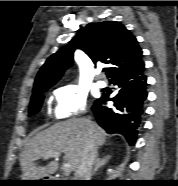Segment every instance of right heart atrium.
<instances>
[{
    "instance_id": "d8ad5b80",
    "label": "right heart atrium",
    "mask_w": 178,
    "mask_h": 186,
    "mask_svg": "<svg viewBox=\"0 0 178 186\" xmlns=\"http://www.w3.org/2000/svg\"><path fill=\"white\" fill-rule=\"evenodd\" d=\"M55 117L65 120L83 114L87 107V94L76 86H65L54 91Z\"/></svg>"
}]
</instances>
